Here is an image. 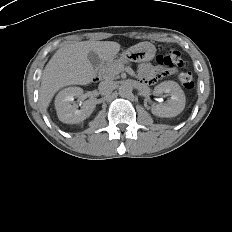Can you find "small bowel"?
<instances>
[{
  "label": "small bowel",
  "mask_w": 232,
  "mask_h": 232,
  "mask_svg": "<svg viewBox=\"0 0 232 232\" xmlns=\"http://www.w3.org/2000/svg\"><path fill=\"white\" fill-rule=\"evenodd\" d=\"M139 74L145 78L146 85L152 87L156 82L163 80L164 78H173L175 71L171 67L154 68L149 63H142L139 65Z\"/></svg>",
  "instance_id": "1"
}]
</instances>
